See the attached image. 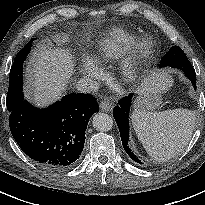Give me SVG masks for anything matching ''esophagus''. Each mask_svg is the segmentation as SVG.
I'll list each match as a JSON object with an SVG mask.
<instances>
[{"instance_id":"1","label":"esophagus","mask_w":205,"mask_h":205,"mask_svg":"<svg viewBox=\"0 0 205 205\" xmlns=\"http://www.w3.org/2000/svg\"><path fill=\"white\" fill-rule=\"evenodd\" d=\"M100 109L105 112H110L113 109V104L110 101H102L100 103Z\"/></svg>"}]
</instances>
